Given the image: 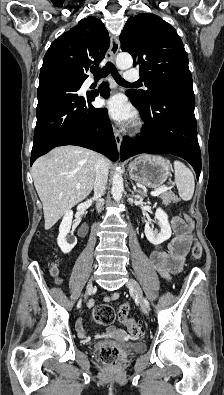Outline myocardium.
Here are the masks:
<instances>
[{
  "label": "myocardium",
  "mask_w": 224,
  "mask_h": 395,
  "mask_svg": "<svg viewBox=\"0 0 224 395\" xmlns=\"http://www.w3.org/2000/svg\"><path fill=\"white\" fill-rule=\"evenodd\" d=\"M141 128V123L136 124V129L139 130Z\"/></svg>",
  "instance_id": "obj_1"
}]
</instances>
